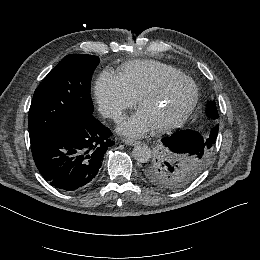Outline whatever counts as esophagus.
I'll list each match as a JSON object with an SVG mask.
<instances>
[{"label": "esophagus", "mask_w": 260, "mask_h": 260, "mask_svg": "<svg viewBox=\"0 0 260 260\" xmlns=\"http://www.w3.org/2000/svg\"><path fill=\"white\" fill-rule=\"evenodd\" d=\"M123 143L129 146H135L139 143V141L134 139H123Z\"/></svg>", "instance_id": "1"}]
</instances>
